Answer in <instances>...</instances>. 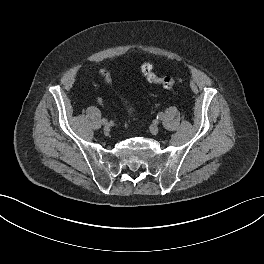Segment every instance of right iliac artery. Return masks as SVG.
<instances>
[{"mask_svg": "<svg viewBox=\"0 0 264 264\" xmlns=\"http://www.w3.org/2000/svg\"><path fill=\"white\" fill-rule=\"evenodd\" d=\"M101 122H102V124H107V119L103 118V119L101 120Z\"/></svg>", "mask_w": 264, "mask_h": 264, "instance_id": "right-iliac-artery-1", "label": "right iliac artery"}]
</instances>
